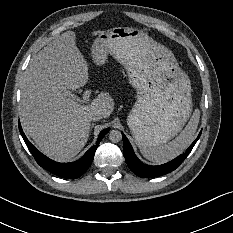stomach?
<instances>
[{"mask_svg":"<svg viewBox=\"0 0 233 233\" xmlns=\"http://www.w3.org/2000/svg\"><path fill=\"white\" fill-rule=\"evenodd\" d=\"M89 53L97 67L112 56L126 68L138 92L127 123L139 148H156L182 130L192 111L191 83L166 47L142 30L114 27L96 35Z\"/></svg>","mask_w":233,"mask_h":233,"instance_id":"obj_1","label":"stomach"}]
</instances>
